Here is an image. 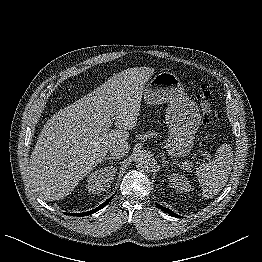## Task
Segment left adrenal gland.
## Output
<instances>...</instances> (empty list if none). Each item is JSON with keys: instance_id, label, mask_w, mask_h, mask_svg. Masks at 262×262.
<instances>
[{"instance_id": "obj_1", "label": "left adrenal gland", "mask_w": 262, "mask_h": 262, "mask_svg": "<svg viewBox=\"0 0 262 262\" xmlns=\"http://www.w3.org/2000/svg\"><path fill=\"white\" fill-rule=\"evenodd\" d=\"M162 163H163L164 166H165L166 164H170V165L173 166V164L175 163V161H173V162L166 161V157L162 154Z\"/></svg>"}]
</instances>
